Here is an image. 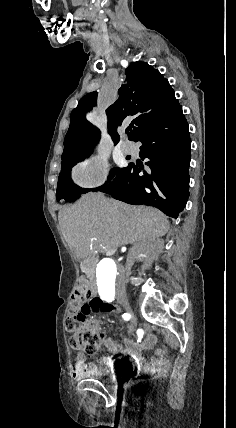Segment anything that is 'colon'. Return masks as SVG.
<instances>
[{
  "label": "colon",
  "mask_w": 236,
  "mask_h": 428,
  "mask_svg": "<svg viewBox=\"0 0 236 428\" xmlns=\"http://www.w3.org/2000/svg\"><path fill=\"white\" fill-rule=\"evenodd\" d=\"M108 310L109 306L91 292L89 281L82 278L73 290L70 311L65 319V329L71 334L70 344L74 349L88 354L99 349L101 337L91 316Z\"/></svg>",
  "instance_id": "1"
}]
</instances>
